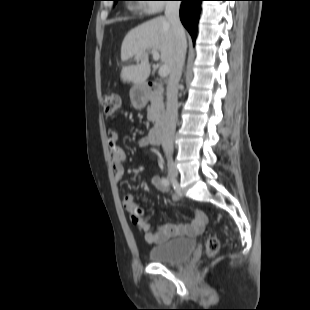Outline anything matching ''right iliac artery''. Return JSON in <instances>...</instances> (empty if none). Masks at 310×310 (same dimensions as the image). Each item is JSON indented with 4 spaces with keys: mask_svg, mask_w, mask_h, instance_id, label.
Instances as JSON below:
<instances>
[{
    "mask_svg": "<svg viewBox=\"0 0 310 310\" xmlns=\"http://www.w3.org/2000/svg\"><path fill=\"white\" fill-rule=\"evenodd\" d=\"M162 182H163V184L166 185V186H169V184H170V181H169L168 178H162Z\"/></svg>",
    "mask_w": 310,
    "mask_h": 310,
    "instance_id": "right-iliac-artery-1",
    "label": "right iliac artery"
}]
</instances>
